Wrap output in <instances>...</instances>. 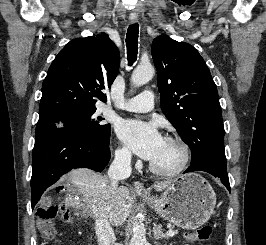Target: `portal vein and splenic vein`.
<instances>
[{
    "label": "portal vein and splenic vein",
    "instance_id": "obj_1",
    "mask_svg": "<svg viewBox=\"0 0 266 245\" xmlns=\"http://www.w3.org/2000/svg\"><path fill=\"white\" fill-rule=\"evenodd\" d=\"M166 235H167V237H174V235H176V233H174V231H167Z\"/></svg>",
    "mask_w": 266,
    "mask_h": 245
}]
</instances>
